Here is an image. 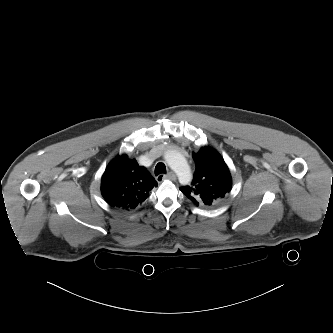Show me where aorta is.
I'll list each match as a JSON object with an SVG mask.
<instances>
[{"label":"aorta","instance_id":"aorta-1","mask_svg":"<svg viewBox=\"0 0 333 333\" xmlns=\"http://www.w3.org/2000/svg\"><path fill=\"white\" fill-rule=\"evenodd\" d=\"M164 158L168 166L176 173L181 182L188 183L191 181L190 168L180 152L173 149L167 150Z\"/></svg>","mask_w":333,"mask_h":333}]
</instances>
